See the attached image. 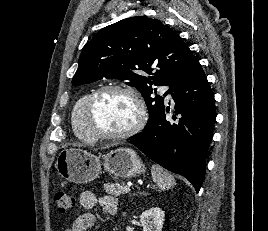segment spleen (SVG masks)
I'll use <instances>...</instances> for the list:
<instances>
[{
  "label": "spleen",
  "instance_id": "3e777b00",
  "mask_svg": "<svg viewBox=\"0 0 268 231\" xmlns=\"http://www.w3.org/2000/svg\"><path fill=\"white\" fill-rule=\"evenodd\" d=\"M151 173L153 182L160 190H168L176 184V181L170 172L157 164L152 165Z\"/></svg>",
  "mask_w": 268,
  "mask_h": 231
}]
</instances>
